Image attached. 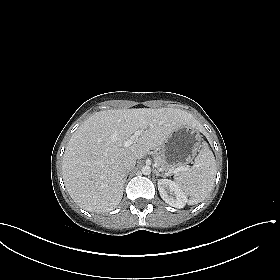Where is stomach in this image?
Returning <instances> with one entry per match:
<instances>
[{
  "label": "stomach",
  "instance_id": "obj_1",
  "mask_svg": "<svg viewBox=\"0 0 280 280\" xmlns=\"http://www.w3.org/2000/svg\"><path fill=\"white\" fill-rule=\"evenodd\" d=\"M200 142L201 135L197 127L184 124L162 143L160 154L170 168L185 166L194 159Z\"/></svg>",
  "mask_w": 280,
  "mask_h": 280
}]
</instances>
